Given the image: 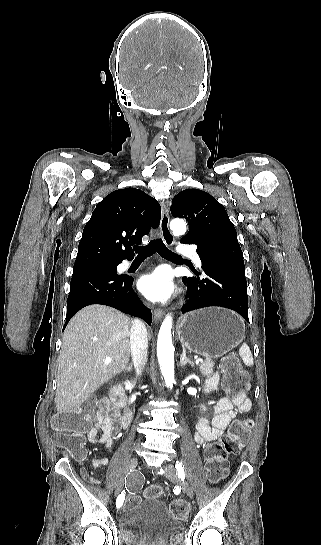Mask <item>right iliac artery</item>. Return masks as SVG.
I'll return each mask as SVG.
<instances>
[{"instance_id": "obj_1", "label": "right iliac artery", "mask_w": 321, "mask_h": 545, "mask_svg": "<svg viewBox=\"0 0 321 545\" xmlns=\"http://www.w3.org/2000/svg\"><path fill=\"white\" fill-rule=\"evenodd\" d=\"M124 497H125V492H122L121 495H119V497L117 498L116 506L118 508L121 507V505L123 503V500H124Z\"/></svg>"}]
</instances>
